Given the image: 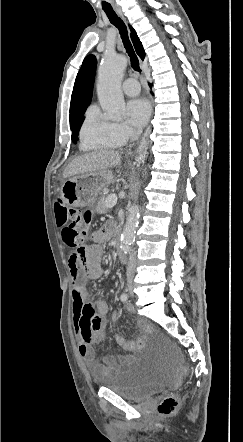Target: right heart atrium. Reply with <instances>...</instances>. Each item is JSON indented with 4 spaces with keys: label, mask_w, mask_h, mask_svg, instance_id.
<instances>
[{
    "label": "right heart atrium",
    "mask_w": 243,
    "mask_h": 442,
    "mask_svg": "<svg viewBox=\"0 0 243 442\" xmlns=\"http://www.w3.org/2000/svg\"><path fill=\"white\" fill-rule=\"evenodd\" d=\"M111 131L119 142L127 141L136 134V132L124 122L111 123Z\"/></svg>",
    "instance_id": "obj_1"
}]
</instances>
